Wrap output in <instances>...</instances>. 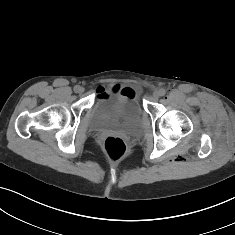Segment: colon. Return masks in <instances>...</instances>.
Segmentation results:
<instances>
[{
    "instance_id": "1",
    "label": "colon",
    "mask_w": 235,
    "mask_h": 235,
    "mask_svg": "<svg viewBox=\"0 0 235 235\" xmlns=\"http://www.w3.org/2000/svg\"><path fill=\"white\" fill-rule=\"evenodd\" d=\"M103 146L108 159L112 162L120 161L126 155V144L120 137H107Z\"/></svg>"
}]
</instances>
